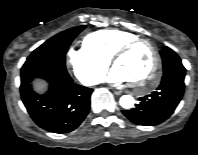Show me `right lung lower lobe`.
<instances>
[{
	"label": "right lung lower lobe",
	"instance_id": "98d812e1",
	"mask_svg": "<svg viewBox=\"0 0 198 155\" xmlns=\"http://www.w3.org/2000/svg\"><path fill=\"white\" fill-rule=\"evenodd\" d=\"M43 78L49 84L44 95L36 94L32 81ZM93 89L73 83L65 65L49 61H31L21 69V98L31 118L41 128L54 133L76 129L90 109Z\"/></svg>",
	"mask_w": 198,
	"mask_h": 155
}]
</instances>
